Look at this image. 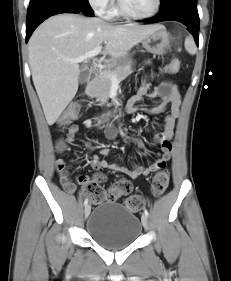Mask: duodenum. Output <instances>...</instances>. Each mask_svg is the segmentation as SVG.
<instances>
[{
	"mask_svg": "<svg viewBox=\"0 0 231 281\" xmlns=\"http://www.w3.org/2000/svg\"><path fill=\"white\" fill-rule=\"evenodd\" d=\"M96 75H97V74L94 73L93 77L90 79L88 85L86 86L85 93L88 92V90H89V88H90V85L95 81ZM98 121H99V122L103 121V118H99Z\"/></svg>",
	"mask_w": 231,
	"mask_h": 281,
	"instance_id": "obj_1",
	"label": "duodenum"
}]
</instances>
